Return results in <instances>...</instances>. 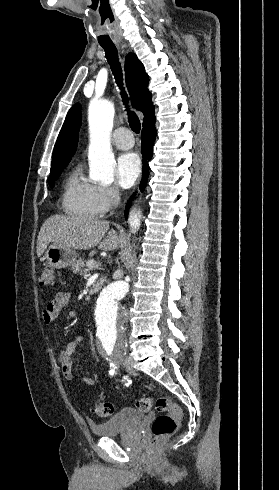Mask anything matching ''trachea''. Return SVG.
I'll return each mask as SVG.
<instances>
[{
    "label": "trachea",
    "instance_id": "trachea-1",
    "mask_svg": "<svg viewBox=\"0 0 279 490\" xmlns=\"http://www.w3.org/2000/svg\"><path fill=\"white\" fill-rule=\"evenodd\" d=\"M103 48L105 50V56L107 58V61L111 67L113 75L115 76L116 82L122 90L121 95H122L123 101H124L125 105L127 106V101H128L127 100V94L124 92V90L122 88V69H121V66H120V63L118 60L117 49L114 46L113 47L112 46H104ZM128 120H129V125H130L131 129L133 130V132L139 133L140 129H141V124H140V120L137 117V115L134 112H131L128 110Z\"/></svg>",
    "mask_w": 279,
    "mask_h": 490
}]
</instances>
